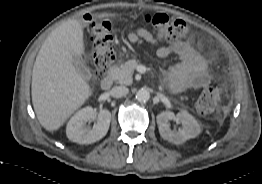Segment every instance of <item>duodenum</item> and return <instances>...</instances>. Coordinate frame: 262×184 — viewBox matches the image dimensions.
Wrapping results in <instances>:
<instances>
[{"instance_id":"obj_1","label":"duodenum","mask_w":262,"mask_h":184,"mask_svg":"<svg viewBox=\"0 0 262 184\" xmlns=\"http://www.w3.org/2000/svg\"><path fill=\"white\" fill-rule=\"evenodd\" d=\"M113 83V78L110 74L106 75L102 80H101V88L105 91H108L111 89Z\"/></svg>"}]
</instances>
